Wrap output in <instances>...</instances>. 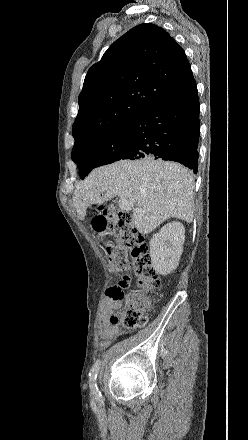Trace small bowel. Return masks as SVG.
<instances>
[{"instance_id":"1","label":"small bowel","mask_w":248,"mask_h":440,"mask_svg":"<svg viewBox=\"0 0 248 440\" xmlns=\"http://www.w3.org/2000/svg\"><path fill=\"white\" fill-rule=\"evenodd\" d=\"M114 308L105 301L99 317V335L101 337L100 348H107L111 342L118 336L119 328L117 325H112L109 321L113 314Z\"/></svg>"}]
</instances>
